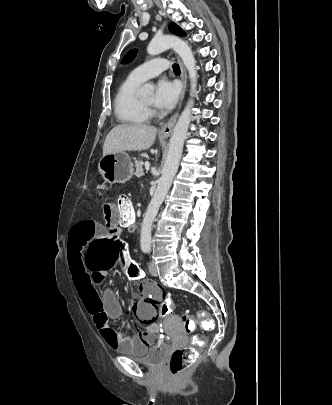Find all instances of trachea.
Here are the masks:
<instances>
[{
	"instance_id": "trachea-1",
	"label": "trachea",
	"mask_w": 332,
	"mask_h": 405,
	"mask_svg": "<svg viewBox=\"0 0 332 405\" xmlns=\"http://www.w3.org/2000/svg\"><path fill=\"white\" fill-rule=\"evenodd\" d=\"M174 73L180 74V67L178 64H173Z\"/></svg>"
}]
</instances>
